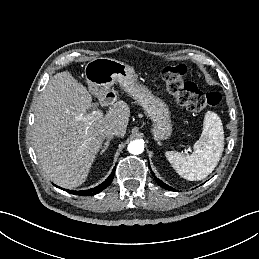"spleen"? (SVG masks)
Wrapping results in <instances>:
<instances>
[{
	"label": "spleen",
	"instance_id": "spleen-1",
	"mask_svg": "<svg viewBox=\"0 0 259 259\" xmlns=\"http://www.w3.org/2000/svg\"><path fill=\"white\" fill-rule=\"evenodd\" d=\"M193 148L194 152L190 155L167 151L165 156L181 177L189 181H199L212 173L224 150V130L216 113L206 112L202 134Z\"/></svg>",
	"mask_w": 259,
	"mask_h": 259
}]
</instances>
